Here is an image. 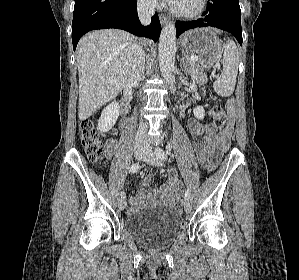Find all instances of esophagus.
Segmentation results:
<instances>
[{
	"instance_id": "1",
	"label": "esophagus",
	"mask_w": 299,
	"mask_h": 280,
	"mask_svg": "<svg viewBox=\"0 0 299 280\" xmlns=\"http://www.w3.org/2000/svg\"><path fill=\"white\" fill-rule=\"evenodd\" d=\"M160 22L162 25H166L169 22V18L165 15H160Z\"/></svg>"
}]
</instances>
